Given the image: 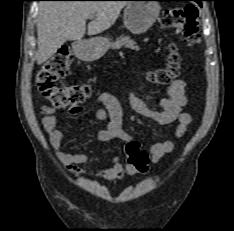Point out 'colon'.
Segmentation results:
<instances>
[{
	"label": "colon",
	"mask_w": 234,
	"mask_h": 231,
	"mask_svg": "<svg viewBox=\"0 0 234 231\" xmlns=\"http://www.w3.org/2000/svg\"><path fill=\"white\" fill-rule=\"evenodd\" d=\"M164 27L181 32L189 42L199 41L198 10L194 5H180L166 10L161 16ZM71 53L64 49L46 62L35 74V83L42 95L56 109H74L91 94V89L84 84L59 86L57 81L70 73ZM168 67L149 74L151 81L167 84L177 77L180 68V56L174 46H171L168 56ZM128 162L137 171L145 172L149 157L136 141L126 144Z\"/></svg>",
	"instance_id": "colon-1"
}]
</instances>
